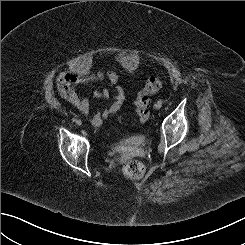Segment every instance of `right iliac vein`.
<instances>
[{"instance_id": "1", "label": "right iliac vein", "mask_w": 245, "mask_h": 245, "mask_svg": "<svg viewBox=\"0 0 245 245\" xmlns=\"http://www.w3.org/2000/svg\"><path fill=\"white\" fill-rule=\"evenodd\" d=\"M76 124L80 126V125H82V121L81 120H77Z\"/></svg>"}]
</instances>
